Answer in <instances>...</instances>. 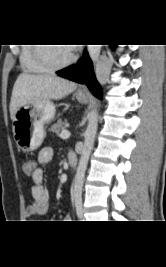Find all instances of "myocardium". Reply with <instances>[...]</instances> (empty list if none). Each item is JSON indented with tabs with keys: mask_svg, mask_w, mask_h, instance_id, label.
<instances>
[{
	"mask_svg": "<svg viewBox=\"0 0 166 267\" xmlns=\"http://www.w3.org/2000/svg\"><path fill=\"white\" fill-rule=\"evenodd\" d=\"M44 45L45 44H38L37 46H35V56L42 65L49 68L50 70H59L66 68L73 64L77 59V55L75 53H72L67 61L62 63L54 62L47 53V46Z\"/></svg>",
	"mask_w": 166,
	"mask_h": 267,
	"instance_id": "1",
	"label": "myocardium"
}]
</instances>
